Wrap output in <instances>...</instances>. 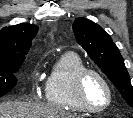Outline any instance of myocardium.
<instances>
[{
  "instance_id": "obj_1",
  "label": "myocardium",
  "mask_w": 133,
  "mask_h": 118,
  "mask_svg": "<svg viewBox=\"0 0 133 118\" xmlns=\"http://www.w3.org/2000/svg\"><path fill=\"white\" fill-rule=\"evenodd\" d=\"M90 75H95L96 77H98L103 82V84L105 85L107 89V93H108L107 102L104 106L100 108H94L93 106H91L86 98L85 84H86L87 78ZM76 96H77L79 103L86 111L96 114V113H102L106 111L111 106L113 97H114V92H113V88L111 86L110 81L107 79V77L102 72L94 68H86L83 71H81L77 77Z\"/></svg>"
}]
</instances>
